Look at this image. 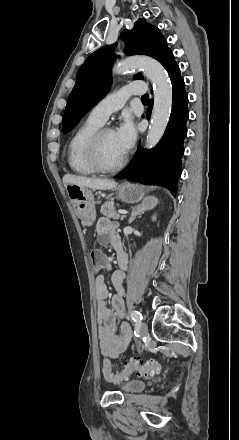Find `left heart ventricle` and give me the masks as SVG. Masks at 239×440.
<instances>
[{
    "label": "left heart ventricle",
    "instance_id": "obj_1",
    "mask_svg": "<svg viewBox=\"0 0 239 440\" xmlns=\"http://www.w3.org/2000/svg\"><path fill=\"white\" fill-rule=\"evenodd\" d=\"M124 154L114 132H106L100 144V155L103 163L107 166H113Z\"/></svg>",
    "mask_w": 239,
    "mask_h": 440
}]
</instances>
